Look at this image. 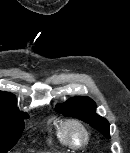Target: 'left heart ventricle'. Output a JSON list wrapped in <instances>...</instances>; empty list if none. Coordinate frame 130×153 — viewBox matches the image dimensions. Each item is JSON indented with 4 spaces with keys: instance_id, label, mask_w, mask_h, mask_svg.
<instances>
[{
    "instance_id": "left-heart-ventricle-1",
    "label": "left heart ventricle",
    "mask_w": 130,
    "mask_h": 153,
    "mask_svg": "<svg viewBox=\"0 0 130 153\" xmlns=\"http://www.w3.org/2000/svg\"><path fill=\"white\" fill-rule=\"evenodd\" d=\"M70 136L75 143H79L82 140V134L77 128L70 129Z\"/></svg>"
}]
</instances>
